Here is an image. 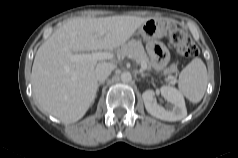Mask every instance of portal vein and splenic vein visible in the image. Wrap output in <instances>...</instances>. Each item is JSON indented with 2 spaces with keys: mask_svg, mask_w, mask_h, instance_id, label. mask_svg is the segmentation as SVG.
I'll return each instance as SVG.
<instances>
[{
  "mask_svg": "<svg viewBox=\"0 0 238 158\" xmlns=\"http://www.w3.org/2000/svg\"><path fill=\"white\" fill-rule=\"evenodd\" d=\"M101 34L97 35L100 36ZM68 56L71 61L77 62L84 59L89 60H107L112 59L113 55L110 52H94L92 54L82 53V54H72L68 51ZM147 68L146 64L141 65V70H145Z\"/></svg>",
  "mask_w": 238,
  "mask_h": 158,
  "instance_id": "1",
  "label": "portal vein and splenic vein"
}]
</instances>
